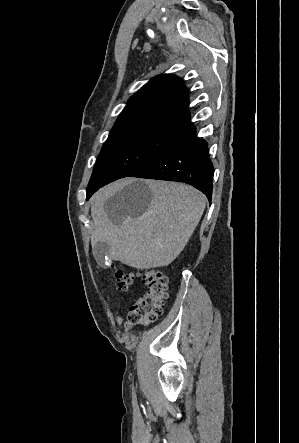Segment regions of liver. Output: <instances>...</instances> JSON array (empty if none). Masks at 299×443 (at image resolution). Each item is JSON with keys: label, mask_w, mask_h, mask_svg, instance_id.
Segmentation results:
<instances>
[{"label": "liver", "mask_w": 299, "mask_h": 443, "mask_svg": "<svg viewBox=\"0 0 299 443\" xmlns=\"http://www.w3.org/2000/svg\"><path fill=\"white\" fill-rule=\"evenodd\" d=\"M129 186L127 200L120 193ZM92 247L104 241L108 257L136 269L169 265L186 246L205 209V196L177 182L127 179L91 200Z\"/></svg>", "instance_id": "liver-1"}]
</instances>
